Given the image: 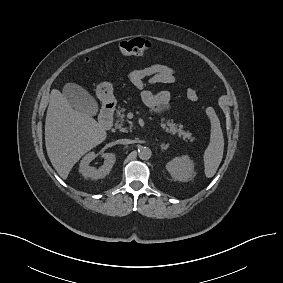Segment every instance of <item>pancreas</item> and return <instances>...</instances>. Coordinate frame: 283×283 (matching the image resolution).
<instances>
[{"mask_svg":"<svg viewBox=\"0 0 283 283\" xmlns=\"http://www.w3.org/2000/svg\"><path fill=\"white\" fill-rule=\"evenodd\" d=\"M125 110H126L125 108H122L117 112L118 119L116 120V123H115V128L120 129V131L122 132L127 131V128L123 127V123L125 121V114H124ZM161 121L162 122L160 124V127L165 132L170 133L172 135L177 134L178 137H182V139L185 141L189 140L192 142L194 140L191 133L183 129L182 124L177 125L173 123V121L167 120L165 118H162Z\"/></svg>","mask_w":283,"mask_h":283,"instance_id":"1","label":"pancreas"}]
</instances>
